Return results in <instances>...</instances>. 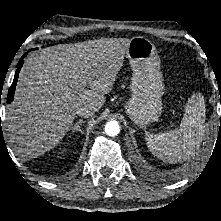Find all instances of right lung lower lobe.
Returning <instances> with one entry per match:
<instances>
[{
  "instance_id": "98d812e1",
  "label": "right lung lower lobe",
  "mask_w": 221,
  "mask_h": 221,
  "mask_svg": "<svg viewBox=\"0 0 221 221\" xmlns=\"http://www.w3.org/2000/svg\"><path fill=\"white\" fill-rule=\"evenodd\" d=\"M26 55H27V53H25V54L22 56L21 60H20L19 63H18V67H17V71L15 72V77H14L13 83H12L10 89H9V92H8V98H7V102H8V103L11 102L12 97H13V95H14L15 86H16V84H17V79H18V74H19V71H20V69H21L23 63H24V61H23L22 59H23Z\"/></svg>"
}]
</instances>
